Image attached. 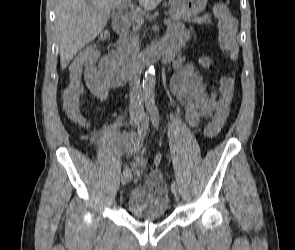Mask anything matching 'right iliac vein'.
<instances>
[{"label":"right iliac vein","instance_id":"63e3f726","mask_svg":"<svg viewBox=\"0 0 295 250\" xmlns=\"http://www.w3.org/2000/svg\"><path fill=\"white\" fill-rule=\"evenodd\" d=\"M134 127H138L140 123V119L138 117H135L132 119ZM131 180V175L130 174H123L121 177V185L125 186L127 185Z\"/></svg>","mask_w":295,"mask_h":250}]
</instances>
